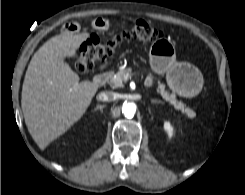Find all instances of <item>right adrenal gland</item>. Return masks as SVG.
Listing matches in <instances>:
<instances>
[{"label":"right adrenal gland","instance_id":"right-adrenal-gland-1","mask_svg":"<svg viewBox=\"0 0 245 195\" xmlns=\"http://www.w3.org/2000/svg\"><path fill=\"white\" fill-rule=\"evenodd\" d=\"M104 107H105V105H97L95 107L94 111L99 110L102 113Z\"/></svg>","mask_w":245,"mask_h":195}]
</instances>
